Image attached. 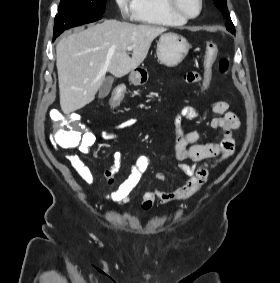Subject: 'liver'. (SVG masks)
<instances>
[{
    "label": "liver",
    "instance_id": "1",
    "mask_svg": "<svg viewBox=\"0 0 280 283\" xmlns=\"http://www.w3.org/2000/svg\"><path fill=\"white\" fill-rule=\"evenodd\" d=\"M165 31V27L105 20L61 39L56 66L63 113L92 102L107 72L120 78L136 69L153 40ZM128 46L133 47L131 57Z\"/></svg>",
    "mask_w": 280,
    "mask_h": 283
}]
</instances>
